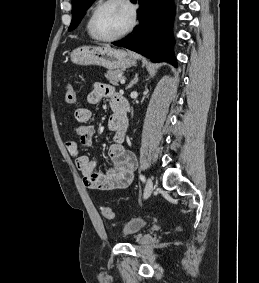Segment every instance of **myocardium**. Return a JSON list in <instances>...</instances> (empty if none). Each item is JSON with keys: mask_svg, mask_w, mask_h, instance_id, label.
Returning a JSON list of instances; mask_svg holds the SVG:
<instances>
[{"mask_svg": "<svg viewBox=\"0 0 259 283\" xmlns=\"http://www.w3.org/2000/svg\"><path fill=\"white\" fill-rule=\"evenodd\" d=\"M112 2H121L127 6L130 12V21L128 26L119 34L112 36V37H102L99 36L95 30V20L98 12L102 7L105 5L112 3ZM137 23V9L134 3L131 0H102L92 11L89 21V30L93 38L101 42H113L118 39H121L128 35L136 26Z\"/></svg>", "mask_w": 259, "mask_h": 283, "instance_id": "1", "label": "myocardium"}]
</instances>
